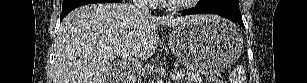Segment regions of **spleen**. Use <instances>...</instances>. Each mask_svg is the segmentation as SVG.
Listing matches in <instances>:
<instances>
[{"label":"spleen","mask_w":307,"mask_h":83,"mask_svg":"<svg viewBox=\"0 0 307 83\" xmlns=\"http://www.w3.org/2000/svg\"><path fill=\"white\" fill-rule=\"evenodd\" d=\"M230 83H247L243 66H237L229 75Z\"/></svg>","instance_id":"1"}]
</instances>
